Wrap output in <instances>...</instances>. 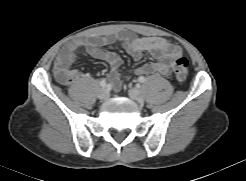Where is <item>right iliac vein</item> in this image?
<instances>
[{"instance_id": "1", "label": "right iliac vein", "mask_w": 246, "mask_h": 181, "mask_svg": "<svg viewBox=\"0 0 246 181\" xmlns=\"http://www.w3.org/2000/svg\"><path fill=\"white\" fill-rule=\"evenodd\" d=\"M97 97L100 100L107 99L108 98V91H107V89L106 88L99 89L98 92H97Z\"/></svg>"}]
</instances>
